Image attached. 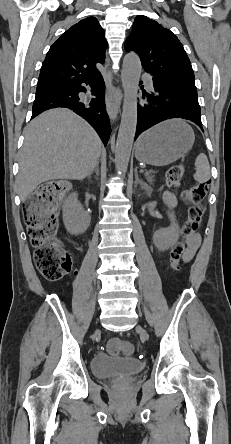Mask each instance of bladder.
<instances>
[{"mask_svg":"<svg viewBox=\"0 0 231 444\" xmlns=\"http://www.w3.org/2000/svg\"><path fill=\"white\" fill-rule=\"evenodd\" d=\"M91 369L97 378L115 375H132L143 371L144 364L130 358H116L105 352H97L92 357Z\"/></svg>","mask_w":231,"mask_h":444,"instance_id":"obj_1","label":"bladder"}]
</instances>
